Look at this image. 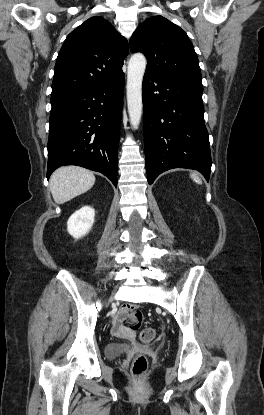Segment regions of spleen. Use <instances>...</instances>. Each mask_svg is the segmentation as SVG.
Returning a JSON list of instances; mask_svg holds the SVG:
<instances>
[{
	"instance_id": "3e777b00",
	"label": "spleen",
	"mask_w": 264,
	"mask_h": 415,
	"mask_svg": "<svg viewBox=\"0 0 264 415\" xmlns=\"http://www.w3.org/2000/svg\"><path fill=\"white\" fill-rule=\"evenodd\" d=\"M190 177L192 178V180H193L194 182H196V183H198V184H201V183H202V181H201V179H200V177L198 176V174H197V173H191V174H190Z\"/></svg>"
}]
</instances>
